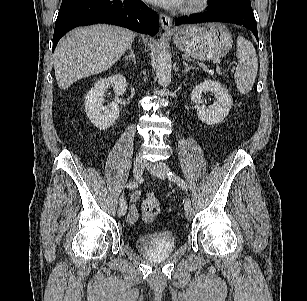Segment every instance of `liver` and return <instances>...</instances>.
I'll return each instance as SVG.
<instances>
[{"instance_id":"liver-1","label":"liver","mask_w":307,"mask_h":301,"mask_svg":"<svg viewBox=\"0 0 307 301\" xmlns=\"http://www.w3.org/2000/svg\"><path fill=\"white\" fill-rule=\"evenodd\" d=\"M135 33L113 25H92L74 29L54 52L58 86L65 90L79 79L111 68L132 44Z\"/></svg>"}]
</instances>
